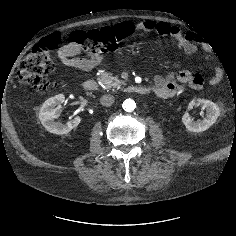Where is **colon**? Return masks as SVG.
<instances>
[{
    "label": "colon",
    "mask_w": 236,
    "mask_h": 236,
    "mask_svg": "<svg viewBox=\"0 0 236 236\" xmlns=\"http://www.w3.org/2000/svg\"><path fill=\"white\" fill-rule=\"evenodd\" d=\"M133 31L130 22H123L113 27L74 31L68 38L87 53L99 54L115 50ZM60 41V34L48 35L21 61L18 67V79L22 84L36 90L50 86L47 77L54 71V61L50 52Z\"/></svg>",
    "instance_id": "1"
}]
</instances>
